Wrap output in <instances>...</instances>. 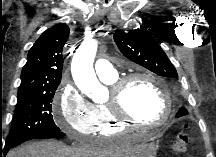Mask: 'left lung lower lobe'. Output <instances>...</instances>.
I'll list each match as a JSON object with an SVG mask.
<instances>
[{"label": "left lung lower lobe", "mask_w": 216, "mask_h": 157, "mask_svg": "<svg viewBox=\"0 0 216 157\" xmlns=\"http://www.w3.org/2000/svg\"><path fill=\"white\" fill-rule=\"evenodd\" d=\"M187 113V112H186ZM186 113H181L180 111H178V113H177V115H176V117H180V116H183V115H185Z\"/></svg>", "instance_id": "obj_1"}]
</instances>
